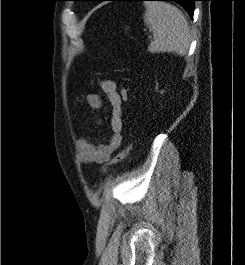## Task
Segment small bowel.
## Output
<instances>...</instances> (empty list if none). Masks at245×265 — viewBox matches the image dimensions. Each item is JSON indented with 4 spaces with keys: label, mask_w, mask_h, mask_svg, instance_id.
Listing matches in <instances>:
<instances>
[{
    "label": "small bowel",
    "mask_w": 245,
    "mask_h": 265,
    "mask_svg": "<svg viewBox=\"0 0 245 265\" xmlns=\"http://www.w3.org/2000/svg\"><path fill=\"white\" fill-rule=\"evenodd\" d=\"M100 88L111 106L110 127L112 132L107 143H94L89 137H82L77 141L76 147L83 163L100 164L108 161L112 153L120 148L123 141V100L117 85L112 80L104 79L100 81ZM86 103L89 107L96 110H100L104 106L103 98L95 93L86 95Z\"/></svg>",
    "instance_id": "1"
}]
</instances>
